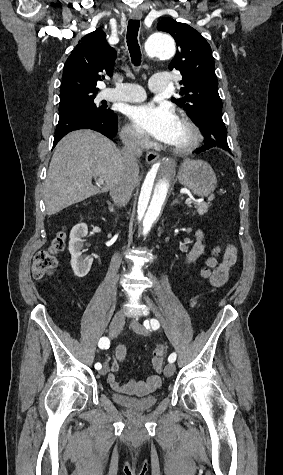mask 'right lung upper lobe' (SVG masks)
I'll return each instance as SVG.
<instances>
[{
  "mask_svg": "<svg viewBox=\"0 0 283 475\" xmlns=\"http://www.w3.org/2000/svg\"><path fill=\"white\" fill-rule=\"evenodd\" d=\"M115 59L116 50L107 43L101 28L81 38L64 65L61 92L97 93L103 74L112 75Z\"/></svg>",
  "mask_w": 283,
  "mask_h": 475,
  "instance_id": "obj_1",
  "label": "right lung upper lobe"
}]
</instances>
